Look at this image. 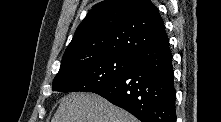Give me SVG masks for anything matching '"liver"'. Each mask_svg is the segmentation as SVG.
<instances>
[{
    "instance_id": "6515ba94",
    "label": "liver",
    "mask_w": 221,
    "mask_h": 122,
    "mask_svg": "<svg viewBox=\"0 0 221 122\" xmlns=\"http://www.w3.org/2000/svg\"><path fill=\"white\" fill-rule=\"evenodd\" d=\"M52 122H137V119L97 94L79 92L61 99Z\"/></svg>"
}]
</instances>
